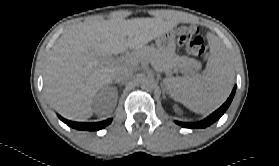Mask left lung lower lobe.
Segmentation results:
<instances>
[{"label": "left lung lower lobe", "mask_w": 279, "mask_h": 166, "mask_svg": "<svg viewBox=\"0 0 279 166\" xmlns=\"http://www.w3.org/2000/svg\"><path fill=\"white\" fill-rule=\"evenodd\" d=\"M235 91H236V87H234L228 100L218 110H216L214 113H212L210 116H208L206 119L202 120L201 122H198L196 124L182 123V122H176V123L185 128H205V127L211 125L216 120H218L224 114V112L227 110V108L231 104V101L234 97Z\"/></svg>", "instance_id": "1"}]
</instances>
